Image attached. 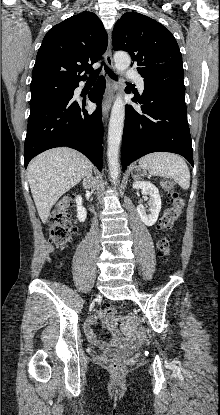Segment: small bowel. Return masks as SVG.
<instances>
[{"instance_id": "c3829d8e", "label": "small bowel", "mask_w": 220, "mask_h": 415, "mask_svg": "<svg viewBox=\"0 0 220 415\" xmlns=\"http://www.w3.org/2000/svg\"><path fill=\"white\" fill-rule=\"evenodd\" d=\"M98 320L104 321V323L110 327V324L106 321L105 315L102 311H99L95 316H91L87 319L84 331L89 342L95 346L100 347L103 350H108L111 344H122L120 340L110 338L109 340H101L94 331V327Z\"/></svg>"}]
</instances>
